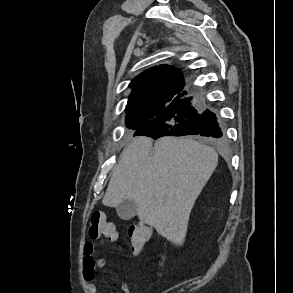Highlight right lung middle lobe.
Segmentation results:
<instances>
[{
	"label": "right lung middle lobe",
	"instance_id": "right-lung-middle-lobe-1",
	"mask_svg": "<svg viewBox=\"0 0 293 293\" xmlns=\"http://www.w3.org/2000/svg\"><path fill=\"white\" fill-rule=\"evenodd\" d=\"M153 118H155V112L148 108L134 109L127 111L126 125L129 129L137 130Z\"/></svg>",
	"mask_w": 293,
	"mask_h": 293
}]
</instances>
